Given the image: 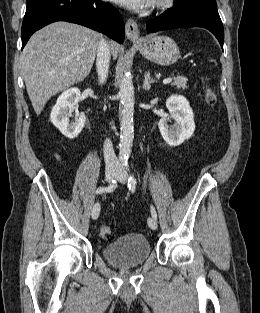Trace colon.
<instances>
[{
  "mask_svg": "<svg viewBox=\"0 0 260 313\" xmlns=\"http://www.w3.org/2000/svg\"><path fill=\"white\" fill-rule=\"evenodd\" d=\"M205 97H206L208 104H210V105L215 104L216 96H215V94L211 88L206 87ZM99 236L105 240H112L113 239V233L111 231V228L107 225H101L99 227Z\"/></svg>",
  "mask_w": 260,
  "mask_h": 313,
  "instance_id": "5ec220e1",
  "label": "colon"
}]
</instances>
